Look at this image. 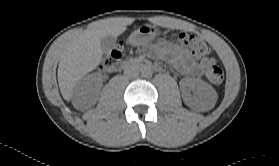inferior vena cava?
Segmentation results:
<instances>
[{
	"instance_id": "obj_1",
	"label": "inferior vena cava",
	"mask_w": 279,
	"mask_h": 166,
	"mask_svg": "<svg viewBox=\"0 0 279 166\" xmlns=\"http://www.w3.org/2000/svg\"><path fill=\"white\" fill-rule=\"evenodd\" d=\"M124 74H125V76H127L129 78H135L139 75V72L135 69H128V70H125Z\"/></svg>"
}]
</instances>
